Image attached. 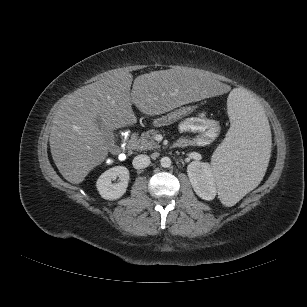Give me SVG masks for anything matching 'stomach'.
<instances>
[{
	"label": "stomach",
	"mask_w": 307,
	"mask_h": 307,
	"mask_svg": "<svg viewBox=\"0 0 307 307\" xmlns=\"http://www.w3.org/2000/svg\"><path fill=\"white\" fill-rule=\"evenodd\" d=\"M191 108L190 107H183L180 108L174 112H171L165 116L159 117L157 119H154L153 121V125L155 127H161V126H166L169 124H172L174 122H176L177 120L181 119L182 117H184L185 115L189 114L191 112Z\"/></svg>",
	"instance_id": "0dacf381"
}]
</instances>
